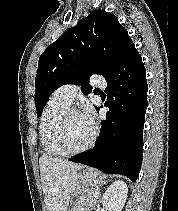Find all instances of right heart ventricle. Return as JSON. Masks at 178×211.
Segmentation results:
<instances>
[{
	"mask_svg": "<svg viewBox=\"0 0 178 211\" xmlns=\"http://www.w3.org/2000/svg\"><path fill=\"white\" fill-rule=\"evenodd\" d=\"M68 109L69 104L54 93L43 112L40 124L41 143L44 151L50 156L64 155L58 145V134L62 116Z\"/></svg>",
	"mask_w": 178,
	"mask_h": 211,
	"instance_id": "obj_1",
	"label": "right heart ventricle"
}]
</instances>
